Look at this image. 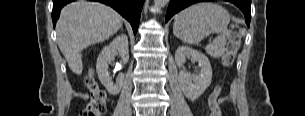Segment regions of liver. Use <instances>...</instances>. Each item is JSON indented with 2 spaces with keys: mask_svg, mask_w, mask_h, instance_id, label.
Instances as JSON below:
<instances>
[{
  "mask_svg": "<svg viewBox=\"0 0 305 116\" xmlns=\"http://www.w3.org/2000/svg\"><path fill=\"white\" fill-rule=\"evenodd\" d=\"M122 23L119 13L98 2L79 0L66 5L61 10L56 29L57 43L69 68L81 75V51L112 36Z\"/></svg>",
  "mask_w": 305,
  "mask_h": 116,
  "instance_id": "liver-1",
  "label": "liver"
}]
</instances>
